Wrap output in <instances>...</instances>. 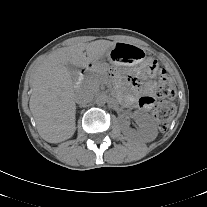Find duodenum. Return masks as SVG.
Masks as SVG:
<instances>
[{"mask_svg": "<svg viewBox=\"0 0 207 207\" xmlns=\"http://www.w3.org/2000/svg\"><path fill=\"white\" fill-rule=\"evenodd\" d=\"M87 68H88V66H85V67H83V69H82V70H83V71H85Z\"/></svg>", "mask_w": 207, "mask_h": 207, "instance_id": "obj_1", "label": "duodenum"}]
</instances>
